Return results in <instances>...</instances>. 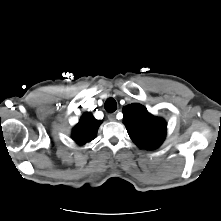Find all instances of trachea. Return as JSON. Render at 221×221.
<instances>
[{"mask_svg": "<svg viewBox=\"0 0 221 221\" xmlns=\"http://www.w3.org/2000/svg\"><path fill=\"white\" fill-rule=\"evenodd\" d=\"M104 108L109 113L115 112L117 109V103H116L115 99L108 98L104 104Z\"/></svg>", "mask_w": 221, "mask_h": 221, "instance_id": "obj_1", "label": "trachea"}]
</instances>
